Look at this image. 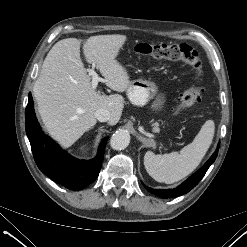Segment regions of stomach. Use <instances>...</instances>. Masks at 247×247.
Segmentation results:
<instances>
[{
  "label": "stomach",
  "instance_id": "1",
  "mask_svg": "<svg viewBox=\"0 0 247 247\" xmlns=\"http://www.w3.org/2000/svg\"><path fill=\"white\" fill-rule=\"evenodd\" d=\"M127 96L131 103L137 106H144L155 99L151 105L153 110L162 109L165 103V98L158 94L156 83L150 80H133L127 89Z\"/></svg>",
  "mask_w": 247,
  "mask_h": 247
}]
</instances>
